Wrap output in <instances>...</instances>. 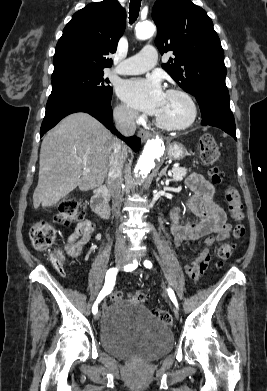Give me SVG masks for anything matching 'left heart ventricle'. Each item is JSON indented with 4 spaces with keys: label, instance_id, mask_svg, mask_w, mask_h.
Listing matches in <instances>:
<instances>
[{
    "label": "left heart ventricle",
    "instance_id": "obj_1",
    "mask_svg": "<svg viewBox=\"0 0 267 391\" xmlns=\"http://www.w3.org/2000/svg\"><path fill=\"white\" fill-rule=\"evenodd\" d=\"M189 115V106L181 96L165 94L157 117L172 124H181L188 119Z\"/></svg>",
    "mask_w": 267,
    "mask_h": 391
}]
</instances>
